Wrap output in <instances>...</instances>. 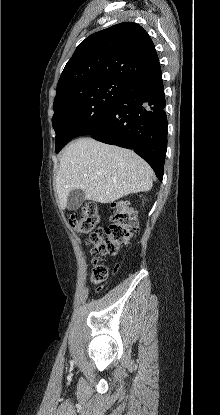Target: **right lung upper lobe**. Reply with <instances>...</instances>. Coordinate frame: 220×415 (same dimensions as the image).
I'll return each instance as SVG.
<instances>
[{
    "label": "right lung upper lobe",
    "mask_w": 220,
    "mask_h": 415,
    "mask_svg": "<svg viewBox=\"0 0 220 415\" xmlns=\"http://www.w3.org/2000/svg\"><path fill=\"white\" fill-rule=\"evenodd\" d=\"M161 71L155 46L138 24L124 22L83 40L67 62L57 93L81 82L118 79L135 84Z\"/></svg>",
    "instance_id": "obj_1"
}]
</instances>
